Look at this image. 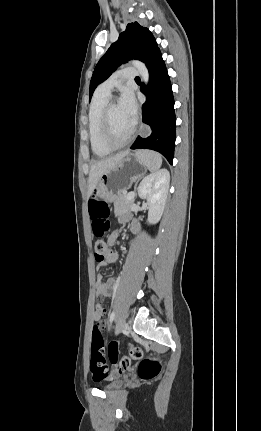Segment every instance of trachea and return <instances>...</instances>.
Returning <instances> with one entry per match:
<instances>
[{
  "label": "trachea",
  "instance_id": "trachea-1",
  "mask_svg": "<svg viewBox=\"0 0 261 431\" xmlns=\"http://www.w3.org/2000/svg\"><path fill=\"white\" fill-rule=\"evenodd\" d=\"M135 79H136V80H139L140 78H139V77H136Z\"/></svg>",
  "mask_w": 261,
  "mask_h": 431
}]
</instances>
